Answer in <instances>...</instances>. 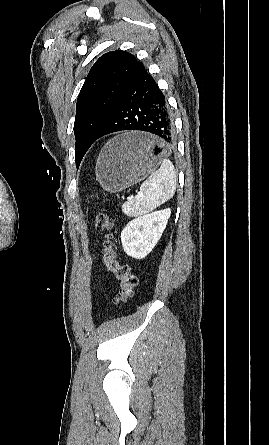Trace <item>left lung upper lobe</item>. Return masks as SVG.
<instances>
[{"label": "left lung upper lobe", "instance_id": "obj_1", "mask_svg": "<svg viewBox=\"0 0 269 445\" xmlns=\"http://www.w3.org/2000/svg\"><path fill=\"white\" fill-rule=\"evenodd\" d=\"M138 64L134 55L116 50L104 54L90 69L76 105L74 134L77 167L109 120Z\"/></svg>", "mask_w": 269, "mask_h": 445}]
</instances>
